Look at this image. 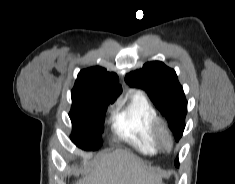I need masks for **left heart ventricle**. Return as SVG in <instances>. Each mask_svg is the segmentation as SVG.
<instances>
[{"instance_id":"b2bd125f","label":"left heart ventricle","mask_w":235,"mask_h":184,"mask_svg":"<svg viewBox=\"0 0 235 184\" xmlns=\"http://www.w3.org/2000/svg\"><path fill=\"white\" fill-rule=\"evenodd\" d=\"M161 142L166 148L169 149L171 147V141L168 135L166 134L162 135Z\"/></svg>"}]
</instances>
